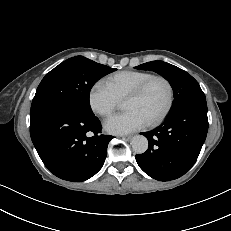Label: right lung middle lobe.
I'll use <instances>...</instances> for the list:
<instances>
[{
  "mask_svg": "<svg viewBox=\"0 0 231 231\" xmlns=\"http://www.w3.org/2000/svg\"><path fill=\"white\" fill-rule=\"evenodd\" d=\"M115 70L83 56L62 62L39 84L31 105V123L65 106L93 114L89 103L90 90L100 78Z\"/></svg>",
  "mask_w": 231,
  "mask_h": 231,
  "instance_id": "obj_1",
  "label": "right lung middle lobe"
}]
</instances>
